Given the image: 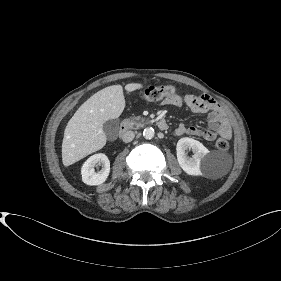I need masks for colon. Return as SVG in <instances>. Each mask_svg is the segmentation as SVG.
<instances>
[{
  "label": "colon",
  "instance_id": "1",
  "mask_svg": "<svg viewBox=\"0 0 281 281\" xmlns=\"http://www.w3.org/2000/svg\"><path fill=\"white\" fill-rule=\"evenodd\" d=\"M173 92L174 89L171 86H151L144 89L141 92L140 97L143 100L153 102V101H159L165 96L172 95ZM215 145L217 149H219L220 151H226L230 147L228 140L225 138H219L216 141Z\"/></svg>",
  "mask_w": 281,
  "mask_h": 281
}]
</instances>
